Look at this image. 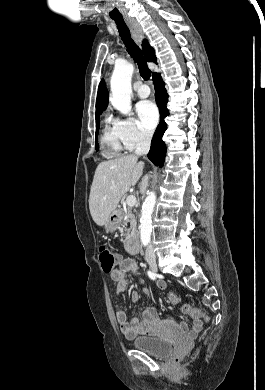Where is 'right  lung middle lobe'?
<instances>
[{"label": "right lung middle lobe", "instance_id": "1", "mask_svg": "<svg viewBox=\"0 0 265 390\" xmlns=\"http://www.w3.org/2000/svg\"><path fill=\"white\" fill-rule=\"evenodd\" d=\"M98 131H99V118H96V136H95V149L96 151L99 150V146L97 144V136H98Z\"/></svg>", "mask_w": 265, "mask_h": 390}]
</instances>
